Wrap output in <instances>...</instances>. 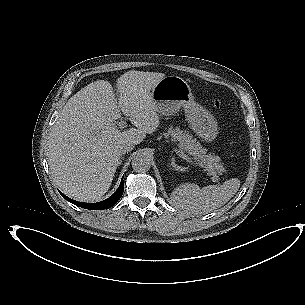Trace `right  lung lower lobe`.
<instances>
[{
	"mask_svg": "<svg viewBox=\"0 0 305 305\" xmlns=\"http://www.w3.org/2000/svg\"><path fill=\"white\" fill-rule=\"evenodd\" d=\"M124 191V183L123 178L121 180L120 186L118 187L117 191L110 196L108 199L98 202V203H81L74 201L67 196H65L63 193L60 192V194L69 202L73 203L76 206H79L81 208L89 209V210H100V209H108L116 204V202L121 198Z\"/></svg>",
	"mask_w": 305,
	"mask_h": 305,
	"instance_id": "right-lung-lower-lobe-1",
	"label": "right lung lower lobe"
}]
</instances>
